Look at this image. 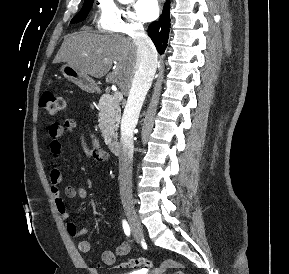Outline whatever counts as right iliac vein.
Instances as JSON below:
<instances>
[{"label":"right iliac vein","instance_id":"63e3f726","mask_svg":"<svg viewBox=\"0 0 289 274\" xmlns=\"http://www.w3.org/2000/svg\"><path fill=\"white\" fill-rule=\"evenodd\" d=\"M123 204L133 236L137 242H140L144 239L143 228L141 226V223L131 205V202L128 199L124 198Z\"/></svg>","mask_w":289,"mask_h":274}]
</instances>
